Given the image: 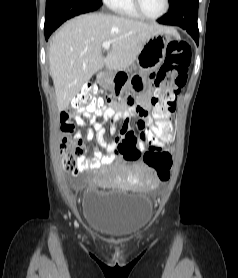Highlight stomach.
I'll list each match as a JSON object with an SVG mask.
<instances>
[{"label":"stomach","instance_id":"0dacf381","mask_svg":"<svg viewBox=\"0 0 238 278\" xmlns=\"http://www.w3.org/2000/svg\"><path fill=\"white\" fill-rule=\"evenodd\" d=\"M178 35L171 27L151 35L137 56L134 69H117V72H101L97 81L102 87L112 90L115 99H122L123 89L141 90L149 87L148 71L157 69L164 61L166 49L173 37Z\"/></svg>","mask_w":238,"mask_h":278}]
</instances>
